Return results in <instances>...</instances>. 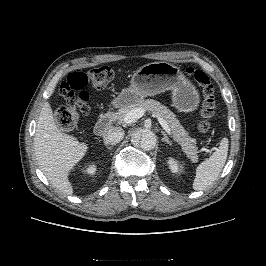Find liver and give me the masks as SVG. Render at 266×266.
Returning <instances> with one entry per match:
<instances>
[{"label":"liver","instance_id":"liver-1","mask_svg":"<svg viewBox=\"0 0 266 266\" xmlns=\"http://www.w3.org/2000/svg\"><path fill=\"white\" fill-rule=\"evenodd\" d=\"M34 149L37 163L52 186L63 195H72L68 176L85 156L88 146L58 129L48 102L44 103L38 118Z\"/></svg>","mask_w":266,"mask_h":266}]
</instances>
